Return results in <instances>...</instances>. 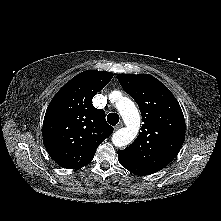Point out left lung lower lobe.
Instances as JSON below:
<instances>
[{
	"label": "left lung lower lobe",
	"instance_id": "obj_1",
	"mask_svg": "<svg viewBox=\"0 0 221 221\" xmlns=\"http://www.w3.org/2000/svg\"><path fill=\"white\" fill-rule=\"evenodd\" d=\"M118 160L123 167L137 175L145 176L157 172V170L140 165L132 159L121 155L120 153H118Z\"/></svg>",
	"mask_w": 221,
	"mask_h": 221
}]
</instances>
